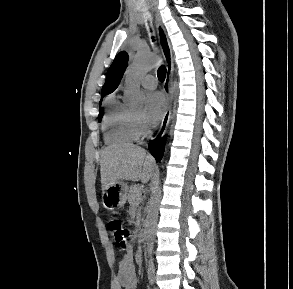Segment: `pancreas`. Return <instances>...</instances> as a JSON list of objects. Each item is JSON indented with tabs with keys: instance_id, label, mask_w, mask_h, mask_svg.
Returning <instances> with one entry per match:
<instances>
[{
	"instance_id": "pancreas-1",
	"label": "pancreas",
	"mask_w": 293,
	"mask_h": 289,
	"mask_svg": "<svg viewBox=\"0 0 293 289\" xmlns=\"http://www.w3.org/2000/svg\"><path fill=\"white\" fill-rule=\"evenodd\" d=\"M141 187L139 185H135L130 187L129 193H128V201L131 206V208H135L138 206V204L141 202Z\"/></svg>"
}]
</instances>
